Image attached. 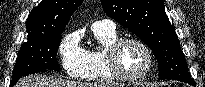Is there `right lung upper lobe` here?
I'll return each instance as SVG.
<instances>
[{
    "label": "right lung upper lobe",
    "instance_id": "right-lung-upper-lobe-1",
    "mask_svg": "<svg viewBox=\"0 0 205 87\" xmlns=\"http://www.w3.org/2000/svg\"><path fill=\"white\" fill-rule=\"evenodd\" d=\"M83 0H42L26 21L28 36L63 32L73 12Z\"/></svg>",
    "mask_w": 205,
    "mask_h": 87
}]
</instances>
